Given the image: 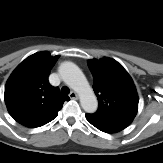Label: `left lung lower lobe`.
Instances as JSON below:
<instances>
[{
	"mask_svg": "<svg viewBox=\"0 0 163 163\" xmlns=\"http://www.w3.org/2000/svg\"><path fill=\"white\" fill-rule=\"evenodd\" d=\"M85 116L89 123H91L97 129L106 133L119 132L131 124V122L128 121L97 119L91 117L88 114H86Z\"/></svg>",
	"mask_w": 163,
	"mask_h": 163,
	"instance_id": "left-lung-lower-lobe-1",
	"label": "left lung lower lobe"
}]
</instances>
